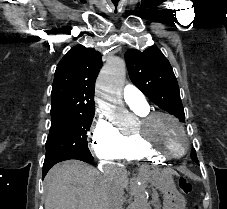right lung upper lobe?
Here are the masks:
<instances>
[{
  "mask_svg": "<svg viewBox=\"0 0 227 209\" xmlns=\"http://www.w3.org/2000/svg\"><path fill=\"white\" fill-rule=\"evenodd\" d=\"M102 66L101 54L93 48L82 45L72 47L57 65L51 92V111L59 102L67 99H81L86 106L76 110H95V81Z\"/></svg>",
  "mask_w": 227,
  "mask_h": 209,
  "instance_id": "cb5924a9",
  "label": "right lung upper lobe"
}]
</instances>
